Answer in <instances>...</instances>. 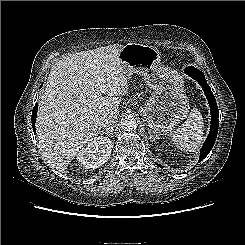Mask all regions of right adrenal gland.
Listing matches in <instances>:
<instances>
[{
    "mask_svg": "<svg viewBox=\"0 0 245 245\" xmlns=\"http://www.w3.org/2000/svg\"><path fill=\"white\" fill-rule=\"evenodd\" d=\"M101 134L103 135V134H106V135H109L110 137H112L113 136V130H111V131H105V132H101Z\"/></svg>",
    "mask_w": 245,
    "mask_h": 245,
    "instance_id": "obj_1",
    "label": "right adrenal gland"
}]
</instances>
